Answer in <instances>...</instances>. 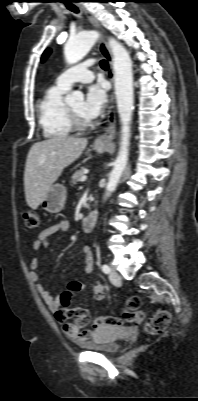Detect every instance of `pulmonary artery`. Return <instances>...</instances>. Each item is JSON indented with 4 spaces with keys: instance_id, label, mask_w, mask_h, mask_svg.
I'll use <instances>...</instances> for the list:
<instances>
[{
    "instance_id": "pulmonary-artery-1",
    "label": "pulmonary artery",
    "mask_w": 198,
    "mask_h": 401,
    "mask_svg": "<svg viewBox=\"0 0 198 401\" xmlns=\"http://www.w3.org/2000/svg\"><path fill=\"white\" fill-rule=\"evenodd\" d=\"M91 65L92 62L87 61L65 70L57 77L56 83L69 89L76 82L87 83L92 81L94 74L89 68Z\"/></svg>"
}]
</instances>
